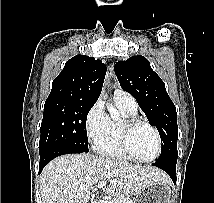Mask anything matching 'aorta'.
Here are the masks:
<instances>
[{
  "mask_svg": "<svg viewBox=\"0 0 214 203\" xmlns=\"http://www.w3.org/2000/svg\"><path fill=\"white\" fill-rule=\"evenodd\" d=\"M109 113L113 120H118L121 117L120 113L115 108H111Z\"/></svg>",
  "mask_w": 214,
  "mask_h": 203,
  "instance_id": "obj_1",
  "label": "aorta"
}]
</instances>
